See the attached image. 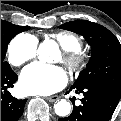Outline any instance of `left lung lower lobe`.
Wrapping results in <instances>:
<instances>
[{
  "instance_id": "left-lung-lower-lobe-1",
  "label": "left lung lower lobe",
  "mask_w": 121,
  "mask_h": 121,
  "mask_svg": "<svg viewBox=\"0 0 121 121\" xmlns=\"http://www.w3.org/2000/svg\"><path fill=\"white\" fill-rule=\"evenodd\" d=\"M82 93V105L74 106L71 115L59 121H109L121 98L100 85L71 86L70 91Z\"/></svg>"
}]
</instances>
